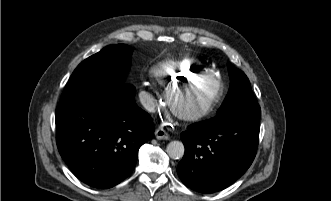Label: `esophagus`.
Here are the masks:
<instances>
[{"label": "esophagus", "mask_w": 331, "mask_h": 201, "mask_svg": "<svg viewBox=\"0 0 331 201\" xmlns=\"http://www.w3.org/2000/svg\"><path fill=\"white\" fill-rule=\"evenodd\" d=\"M155 137L158 140H168L170 138L169 134L163 128H157L155 130Z\"/></svg>", "instance_id": "esophagus-1"}]
</instances>
